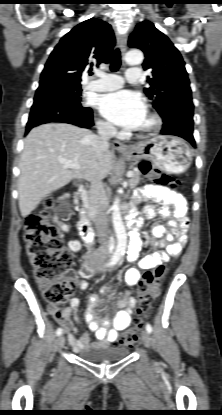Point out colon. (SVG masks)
Here are the masks:
<instances>
[{"mask_svg":"<svg viewBox=\"0 0 222 415\" xmlns=\"http://www.w3.org/2000/svg\"><path fill=\"white\" fill-rule=\"evenodd\" d=\"M141 169L144 175L158 185L178 186L177 179L159 172L148 164H143ZM53 206L54 198L49 196L44 200L40 211L27 216L24 238L26 253L44 299L53 306H59L67 301L74 290V284L67 276L73 259L71 252L63 246L60 231L49 218ZM165 273L166 268L162 265L143 273L137 287L139 322L120 338L122 345L129 346L137 340L142 323L149 316L152 302L158 295V285Z\"/></svg>","mask_w":222,"mask_h":415,"instance_id":"1","label":"colon"}]
</instances>
